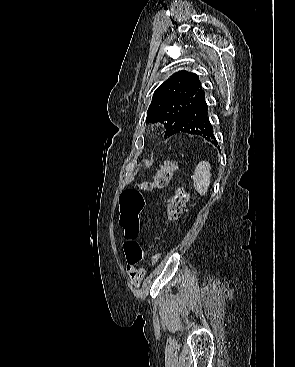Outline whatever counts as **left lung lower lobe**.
<instances>
[{"mask_svg":"<svg viewBox=\"0 0 295 367\" xmlns=\"http://www.w3.org/2000/svg\"><path fill=\"white\" fill-rule=\"evenodd\" d=\"M179 133L201 136L219 148L213 132V127L209 121L208 105L205 100L204 92L195 105L186 113L180 124L173 130V134Z\"/></svg>","mask_w":295,"mask_h":367,"instance_id":"1","label":"left lung lower lobe"}]
</instances>
